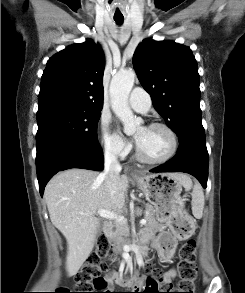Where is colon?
Masks as SVG:
<instances>
[{
	"instance_id": "5ec220e1",
	"label": "colon",
	"mask_w": 245,
	"mask_h": 293,
	"mask_svg": "<svg viewBox=\"0 0 245 293\" xmlns=\"http://www.w3.org/2000/svg\"><path fill=\"white\" fill-rule=\"evenodd\" d=\"M191 219L184 217L174 222L172 233L176 236H183L191 230ZM98 254L90 257L76 276L77 288L82 292L77 293H102L99 291L108 290L110 282L102 275L108 264L102 259L109 258L112 255V247L105 236L98 239ZM196 259V242L194 240L187 241L179 250V281L169 288L170 293H194V282L196 280L197 268ZM146 274H152L154 277L161 275L160 270H145ZM136 285V281H129ZM147 285L151 283L147 282ZM65 290V289H64ZM151 286L146 287L144 293L152 292ZM97 291V292H92Z\"/></svg>"
}]
</instances>
